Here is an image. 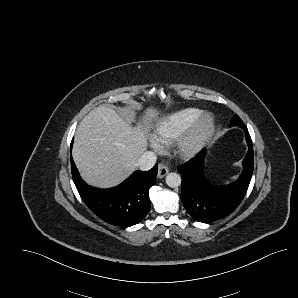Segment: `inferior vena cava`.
I'll use <instances>...</instances> for the list:
<instances>
[{
	"label": "inferior vena cava",
	"instance_id": "obj_1",
	"mask_svg": "<svg viewBox=\"0 0 298 298\" xmlns=\"http://www.w3.org/2000/svg\"><path fill=\"white\" fill-rule=\"evenodd\" d=\"M157 161V155L153 151H145L141 158L137 161V166L141 170L151 169Z\"/></svg>",
	"mask_w": 298,
	"mask_h": 298
}]
</instances>
